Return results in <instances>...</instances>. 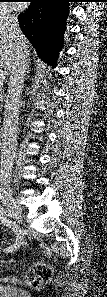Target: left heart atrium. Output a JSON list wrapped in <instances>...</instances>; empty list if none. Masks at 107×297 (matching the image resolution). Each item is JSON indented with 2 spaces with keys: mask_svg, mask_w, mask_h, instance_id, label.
<instances>
[{
  "mask_svg": "<svg viewBox=\"0 0 107 297\" xmlns=\"http://www.w3.org/2000/svg\"><path fill=\"white\" fill-rule=\"evenodd\" d=\"M15 8L16 9H22V5L21 4H15Z\"/></svg>",
  "mask_w": 107,
  "mask_h": 297,
  "instance_id": "39dd6f15",
  "label": "left heart atrium"
}]
</instances>
